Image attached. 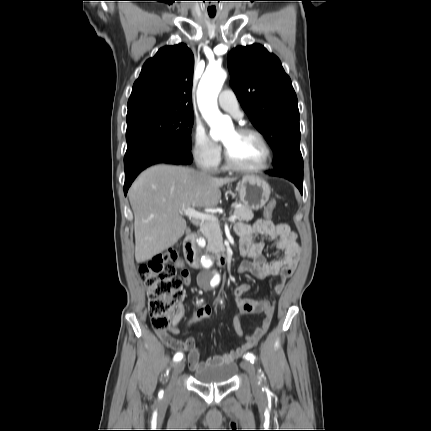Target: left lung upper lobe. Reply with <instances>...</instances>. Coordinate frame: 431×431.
I'll return each instance as SVG.
<instances>
[{"mask_svg":"<svg viewBox=\"0 0 431 431\" xmlns=\"http://www.w3.org/2000/svg\"><path fill=\"white\" fill-rule=\"evenodd\" d=\"M228 68L242 108L274 152L275 169L303 167L298 101L278 57L260 44L239 46L229 53Z\"/></svg>","mask_w":431,"mask_h":431,"instance_id":"1","label":"left lung upper lobe"}]
</instances>
